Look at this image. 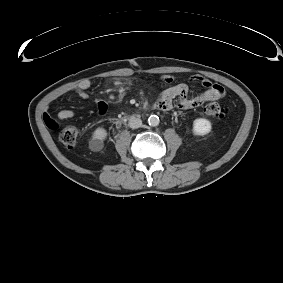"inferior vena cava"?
<instances>
[{"label":"inferior vena cava","mask_w":283,"mask_h":283,"mask_svg":"<svg viewBox=\"0 0 283 283\" xmlns=\"http://www.w3.org/2000/svg\"><path fill=\"white\" fill-rule=\"evenodd\" d=\"M128 125L132 129H137V128L141 127L142 120L140 118L131 117L130 120H129Z\"/></svg>","instance_id":"1"}]
</instances>
